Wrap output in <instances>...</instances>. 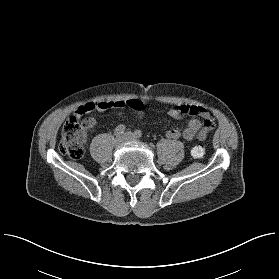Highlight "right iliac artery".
I'll return each mask as SVG.
<instances>
[{"instance_id": "right-iliac-artery-1", "label": "right iliac artery", "mask_w": 279, "mask_h": 279, "mask_svg": "<svg viewBox=\"0 0 279 279\" xmlns=\"http://www.w3.org/2000/svg\"><path fill=\"white\" fill-rule=\"evenodd\" d=\"M125 130V126L124 125H118L115 129L114 135L116 137L120 136Z\"/></svg>"}]
</instances>
